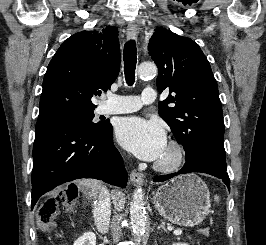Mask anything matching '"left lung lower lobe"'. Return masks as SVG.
<instances>
[{"instance_id": "1", "label": "left lung lower lobe", "mask_w": 266, "mask_h": 245, "mask_svg": "<svg viewBox=\"0 0 266 245\" xmlns=\"http://www.w3.org/2000/svg\"><path fill=\"white\" fill-rule=\"evenodd\" d=\"M226 171L225 150L212 144H206L200 148L193 158L187 160L177 173L156 176L154 182H163L178 174L201 172L222 179L230 190V180Z\"/></svg>"}]
</instances>
